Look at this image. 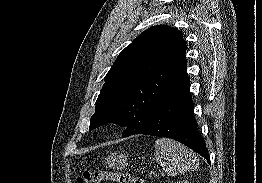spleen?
Returning a JSON list of instances; mask_svg holds the SVG:
<instances>
[{
  "label": "spleen",
  "mask_w": 262,
  "mask_h": 183,
  "mask_svg": "<svg viewBox=\"0 0 262 183\" xmlns=\"http://www.w3.org/2000/svg\"><path fill=\"white\" fill-rule=\"evenodd\" d=\"M155 158L168 176L196 170L199 166L198 159L191 150L168 138L156 140Z\"/></svg>",
  "instance_id": "obj_1"
}]
</instances>
